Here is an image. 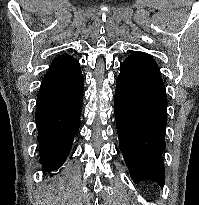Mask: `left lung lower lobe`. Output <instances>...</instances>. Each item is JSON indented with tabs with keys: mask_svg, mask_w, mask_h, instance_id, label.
Wrapping results in <instances>:
<instances>
[{
	"mask_svg": "<svg viewBox=\"0 0 199 205\" xmlns=\"http://www.w3.org/2000/svg\"><path fill=\"white\" fill-rule=\"evenodd\" d=\"M167 97L155 60L134 52L122 63L116 80L115 119L119 147L134 182L164 186Z\"/></svg>",
	"mask_w": 199,
	"mask_h": 205,
	"instance_id": "left-lung-lower-lobe-1",
	"label": "left lung lower lobe"
}]
</instances>
